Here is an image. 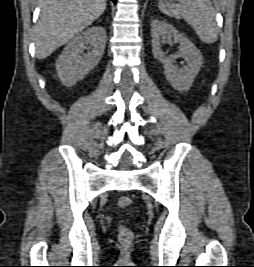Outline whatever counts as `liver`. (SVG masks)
Returning <instances> with one entry per match:
<instances>
[{"instance_id": "6515ba94", "label": "liver", "mask_w": 254, "mask_h": 267, "mask_svg": "<svg viewBox=\"0 0 254 267\" xmlns=\"http://www.w3.org/2000/svg\"><path fill=\"white\" fill-rule=\"evenodd\" d=\"M106 5V0H40L35 27L37 58H47L73 39L103 14Z\"/></svg>"}]
</instances>
